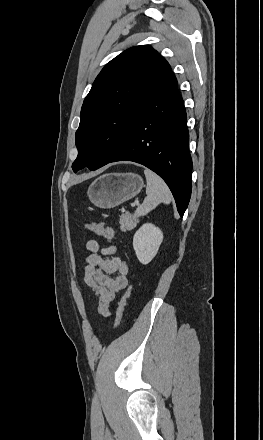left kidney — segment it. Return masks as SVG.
<instances>
[{
    "label": "left kidney",
    "instance_id": "obj_1",
    "mask_svg": "<svg viewBox=\"0 0 263 440\" xmlns=\"http://www.w3.org/2000/svg\"><path fill=\"white\" fill-rule=\"evenodd\" d=\"M163 241L162 231L152 223L143 224L134 234L133 248L140 263L148 264Z\"/></svg>",
    "mask_w": 263,
    "mask_h": 440
}]
</instances>
